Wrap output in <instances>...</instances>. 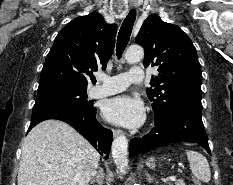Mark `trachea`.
<instances>
[{"mask_svg": "<svg viewBox=\"0 0 233 185\" xmlns=\"http://www.w3.org/2000/svg\"><path fill=\"white\" fill-rule=\"evenodd\" d=\"M136 19V11L130 10L124 19L117 37L116 55L121 58L131 36L132 28Z\"/></svg>", "mask_w": 233, "mask_h": 185, "instance_id": "3493384b", "label": "trachea"}]
</instances>
